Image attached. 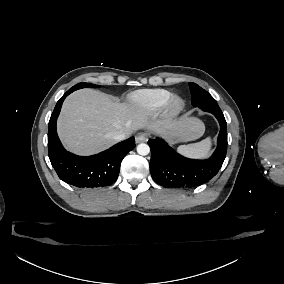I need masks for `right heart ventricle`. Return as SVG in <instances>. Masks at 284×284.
<instances>
[{
    "label": "right heart ventricle",
    "instance_id": "obj_1",
    "mask_svg": "<svg viewBox=\"0 0 284 284\" xmlns=\"http://www.w3.org/2000/svg\"><path fill=\"white\" fill-rule=\"evenodd\" d=\"M173 92L164 88L144 89L136 91L129 96L132 109L142 114H155L160 112Z\"/></svg>",
    "mask_w": 284,
    "mask_h": 284
}]
</instances>
